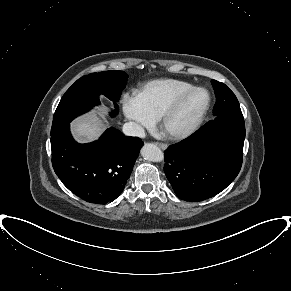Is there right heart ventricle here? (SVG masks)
Here are the masks:
<instances>
[{
  "label": "right heart ventricle",
  "mask_w": 291,
  "mask_h": 291,
  "mask_svg": "<svg viewBox=\"0 0 291 291\" xmlns=\"http://www.w3.org/2000/svg\"><path fill=\"white\" fill-rule=\"evenodd\" d=\"M192 86L190 82L179 79H156L145 84L136 97L145 111L156 120L177 95Z\"/></svg>",
  "instance_id": "obj_1"
}]
</instances>
